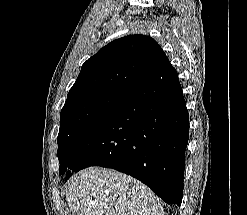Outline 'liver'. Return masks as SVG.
I'll list each match as a JSON object with an SVG mask.
<instances>
[{"instance_id":"1","label":"liver","mask_w":247,"mask_h":215,"mask_svg":"<svg viewBox=\"0 0 247 215\" xmlns=\"http://www.w3.org/2000/svg\"><path fill=\"white\" fill-rule=\"evenodd\" d=\"M65 195L73 215H164L146 185L110 169L88 168L74 175Z\"/></svg>"}]
</instances>
